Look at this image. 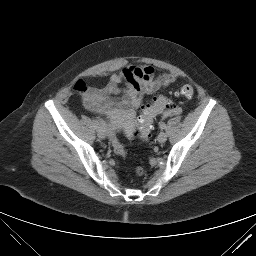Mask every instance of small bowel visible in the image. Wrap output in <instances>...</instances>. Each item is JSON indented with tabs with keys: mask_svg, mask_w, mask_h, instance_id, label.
Here are the masks:
<instances>
[{
	"mask_svg": "<svg viewBox=\"0 0 256 256\" xmlns=\"http://www.w3.org/2000/svg\"><path fill=\"white\" fill-rule=\"evenodd\" d=\"M175 80L174 74L156 75L149 66L129 65L120 73L112 75L105 88L90 90L85 102L90 109L107 117L112 127H117L135 116L144 95L167 87ZM121 84H124L123 88H120ZM176 112V109H168L163 115L169 116Z\"/></svg>",
	"mask_w": 256,
	"mask_h": 256,
	"instance_id": "obj_1",
	"label": "small bowel"
}]
</instances>
